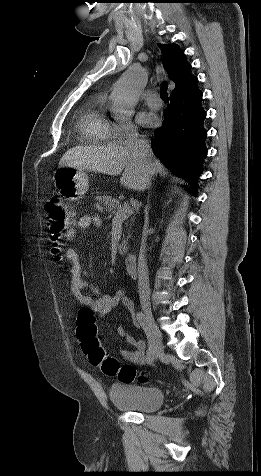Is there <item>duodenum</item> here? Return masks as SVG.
I'll return each instance as SVG.
<instances>
[{"label":"duodenum","mask_w":261,"mask_h":476,"mask_svg":"<svg viewBox=\"0 0 261 476\" xmlns=\"http://www.w3.org/2000/svg\"><path fill=\"white\" fill-rule=\"evenodd\" d=\"M125 267L127 273L131 277L138 275V256L136 254H128L125 258Z\"/></svg>","instance_id":"obj_1"}]
</instances>
